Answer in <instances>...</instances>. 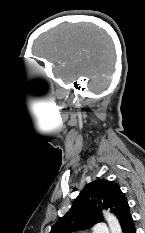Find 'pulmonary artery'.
Instances as JSON below:
<instances>
[{
  "instance_id": "1",
  "label": "pulmonary artery",
  "mask_w": 145,
  "mask_h": 233,
  "mask_svg": "<svg viewBox=\"0 0 145 233\" xmlns=\"http://www.w3.org/2000/svg\"><path fill=\"white\" fill-rule=\"evenodd\" d=\"M92 233H109V230L105 223L101 222L94 226Z\"/></svg>"
}]
</instances>
